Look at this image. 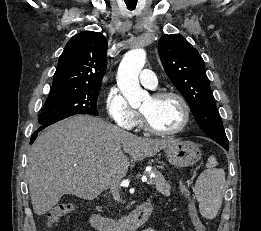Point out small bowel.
<instances>
[{
  "instance_id": "obj_1",
  "label": "small bowel",
  "mask_w": 261,
  "mask_h": 231,
  "mask_svg": "<svg viewBox=\"0 0 261 231\" xmlns=\"http://www.w3.org/2000/svg\"><path fill=\"white\" fill-rule=\"evenodd\" d=\"M182 193H183L184 196H188V194H189L185 187H182ZM143 231H155V230L152 229V228H147V229H145Z\"/></svg>"
}]
</instances>
